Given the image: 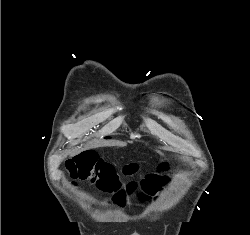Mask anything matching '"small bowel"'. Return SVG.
<instances>
[{
  "label": "small bowel",
  "mask_w": 250,
  "mask_h": 235,
  "mask_svg": "<svg viewBox=\"0 0 250 235\" xmlns=\"http://www.w3.org/2000/svg\"><path fill=\"white\" fill-rule=\"evenodd\" d=\"M160 184L150 188H143L142 191L137 196V202L139 205L146 207L150 204L151 198L157 196L160 191Z\"/></svg>",
  "instance_id": "1"
}]
</instances>
